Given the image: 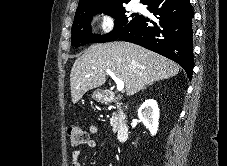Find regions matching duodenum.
Returning <instances> with one entry per match:
<instances>
[{"mask_svg": "<svg viewBox=\"0 0 227 166\" xmlns=\"http://www.w3.org/2000/svg\"><path fill=\"white\" fill-rule=\"evenodd\" d=\"M104 100L106 102H110V103H114V104H118L123 110H128L129 109V105L126 102H123L121 100H119L117 97H115V95L108 91L105 94ZM129 137V125L128 124H121L118 128V132H117V138L119 140V142H125Z\"/></svg>", "mask_w": 227, "mask_h": 166, "instance_id": "duodenum-1", "label": "duodenum"}]
</instances>
